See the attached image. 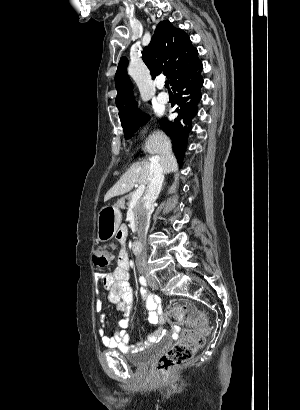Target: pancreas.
<instances>
[{"label": "pancreas", "mask_w": 300, "mask_h": 410, "mask_svg": "<svg viewBox=\"0 0 300 410\" xmlns=\"http://www.w3.org/2000/svg\"><path fill=\"white\" fill-rule=\"evenodd\" d=\"M132 196H133V193H130V194L126 195L125 197L121 198L118 201V205L121 206V207H124L125 206V200L129 201L128 202V205H129L130 202H131ZM141 210H142V200L139 199L134 205V214H135L136 218H137V215L139 214V212Z\"/></svg>", "instance_id": "obj_1"}]
</instances>
